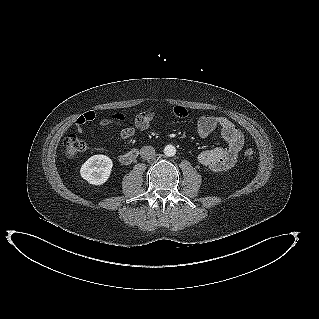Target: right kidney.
<instances>
[{"instance_id":"right-kidney-1","label":"right kidney","mask_w":319,"mask_h":319,"mask_svg":"<svg viewBox=\"0 0 319 319\" xmlns=\"http://www.w3.org/2000/svg\"><path fill=\"white\" fill-rule=\"evenodd\" d=\"M112 167L113 162L108 156L94 155L81 166L80 174L88 183L101 185L110 177Z\"/></svg>"}]
</instances>
